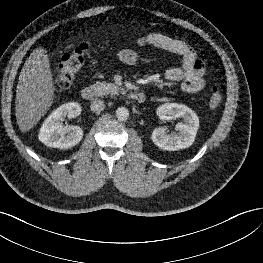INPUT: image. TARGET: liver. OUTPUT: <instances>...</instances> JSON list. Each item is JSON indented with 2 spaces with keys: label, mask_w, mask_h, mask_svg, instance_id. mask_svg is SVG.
<instances>
[{
  "label": "liver",
  "mask_w": 263,
  "mask_h": 263,
  "mask_svg": "<svg viewBox=\"0 0 263 263\" xmlns=\"http://www.w3.org/2000/svg\"><path fill=\"white\" fill-rule=\"evenodd\" d=\"M54 80L47 51L36 48L27 58L18 78L16 119L21 132L38 123L54 99Z\"/></svg>",
  "instance_id": "obj_1"
}]
</instances>
